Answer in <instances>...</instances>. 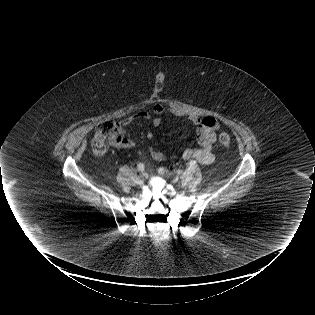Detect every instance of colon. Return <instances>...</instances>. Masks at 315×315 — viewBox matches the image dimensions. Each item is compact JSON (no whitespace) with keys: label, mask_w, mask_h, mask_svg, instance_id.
<instances>
[{"label":"colon","mask_w":315,"mask_h":315,"mask_svg":"<svg viewBox=\"0 0 315 315\" xmlns=\"http://www.w3.org/2000/svg\"><path fill=\"white\" fill-rule=\"evenodd\" d=\"M125 141V131L118 122L104 121L100 123L93 139L94 150L97 154L104 153L109 147L119 146ZM218 141L222 146H229L231 137L227 133H221Z\"/></svg>","instance_id":"obj_1"}]
</instances>
